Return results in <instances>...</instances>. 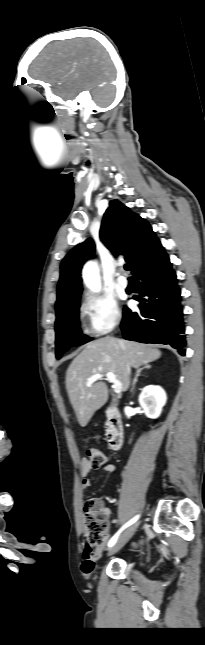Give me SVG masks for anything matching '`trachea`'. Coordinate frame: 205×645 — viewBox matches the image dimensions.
I'll return each instance as SVG.
<instances>
[{
    "instance_id": "1",
    "label": "trachea",
    "mask_w": 205,
    "mask_h": 645,
    "mask_svg": "<svg viewBox=\"0 0 205 645\" xmlns=\"http://www.w3.org/2000/svg\"><path fill=\"white\" fill-rule=\"evenodd\" d=\"M124 268H125L126 271H129L131 269V265L130 264H125Z\"/></svg>"
}]
</instances>
